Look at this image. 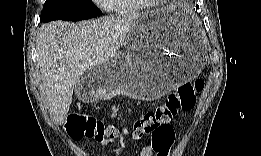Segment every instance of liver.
Segmentation results:
<instances>
[{
    "mask_svg": "<svg viewBox=\"0 0 261 156\" xmlns=\"http://www.w3.org/2000/svg\"><path fill=\"white\" fill-rule=\"evenodd\" d=\"M140 16L130 13L78 23L53 21L40 27L38 64L47 106L57 125L66 120L79 79L118 53Z\"/></svg>",
    "mask_w": 261,
    "mask_h": 156,
    "instance_id": "6515ba94",
    "label": "liver"
}]
</instances>
